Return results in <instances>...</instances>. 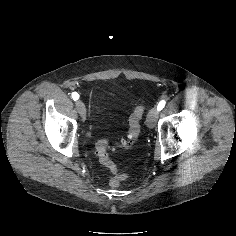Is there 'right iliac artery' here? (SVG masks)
<instances>
[{"mask_svg":"<svg viewBox=\"0 0 236 236\" xmlns=\"http://www.w3.org/2000/svg\"><path fill=\"white\" fill-rule=\"evenodd\" d=\"M72 98H73V100H78L79 99V95H78V93L77 92H73L72 93Z\"/></svg>","mask_w":236,"mask_h":236,"instance_id":"82829eb1","label":"right iliac artery"}]
</instances>
